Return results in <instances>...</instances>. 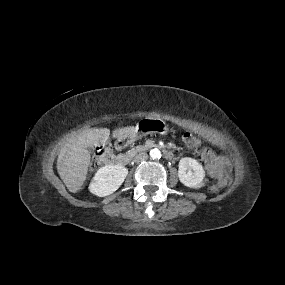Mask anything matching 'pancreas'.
Listing matches in <instances>:
<instances>
[{
  "label": "pancreas",
  "mask_w": 285,
  "mask_h": 285,
  "mask_svg": "<svg viewBox=\"0 0 285 285\" xmlns=\"http://www.w3.org/2000/svg\"><path fill=\"white\" fill-rule=\"evenodd\" d=\"M136 149H137L138 151H140V150H145V149H146V146H137Z\"/></svg>",
  "instance_id": "cf45deb5"
}]
</instances>
